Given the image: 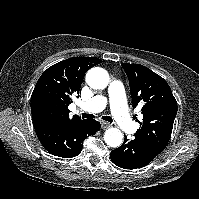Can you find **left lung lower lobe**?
<instances>
[{"mask_svg":"<svg viewBox=\"0 0 199 199\" xmlns=\"http://www.w3.org/2000/svg\"><path fill=\"white\" fill-rule=\"evenodd\" d=\"M133 140L124 139V143L111 151L112 162L124 169L142 168L149 164L162 149L136 135Z\"/></svg>","mask_w":199,"mask_h":199,"instance_id":"0a47b994","label":"left lung lower lobe"}]
</instances>
